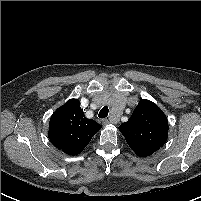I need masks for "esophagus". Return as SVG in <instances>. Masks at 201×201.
Returning <instances> with one entry per match:
<instances>
[{"instance_id":"1","label":"esophagus","mask_w":201,"mask_h":201,"mask_svg":"<svg viewBox=\"0 0 201 201\" xmlns=\"http://www.w3.org/2000/svg\"><path fill=\"white\" fill-rule=\"evenodd\" d=\"M102 123H103V125H108V124H110L111 123V121L109 120V119H103L102 120Z\"/></svg>"}]
</instances>
